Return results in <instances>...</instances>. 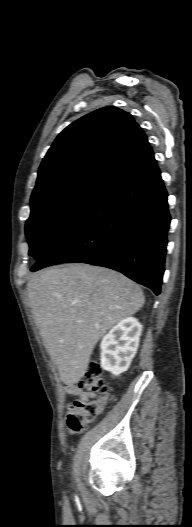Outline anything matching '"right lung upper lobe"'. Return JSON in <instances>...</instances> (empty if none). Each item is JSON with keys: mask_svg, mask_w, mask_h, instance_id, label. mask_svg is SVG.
Masks as SVG:
<instances>
[{"mask_svg": "<svg viewBox=\"0 0 192 527\" xmlns=\"http://www.w3.org/2000/svg\"><path fill=\"white\" fill-rule=\"evenodd\" d=\"M148 145L129 113L112 106L95 110L55 139L41 163L32 196L84 178L108 181Z\"/></svg>", "mask_w": 192, "mask_h": 527, "instance_id": "1", "label": "right lung upper lobe"}]
</instances>
